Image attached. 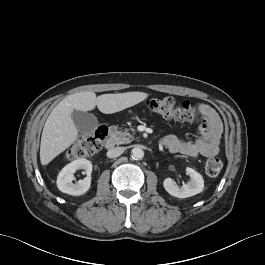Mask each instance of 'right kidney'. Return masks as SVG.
<instances>
[{
  "mask_svg": "<svg viewBox=\"0 0 265 265\" xmlns=\"http://www.w3.org/2000/svg\"><path fill=\"white\" fill-rule=\"evenodd\" d=\"M79 169H84L87 176L77 183H72L75 179L73 173ZM92 164L87 159H77L67 164L58 174L57 187L58 189L69 195L79 196L86 193L91 185Z\"/></svg>",
  "mask_w": 265,
  "mask_h": 265,
  "instance_id": "obj_1",
  "label": "right kidney"
}]
</instances>
